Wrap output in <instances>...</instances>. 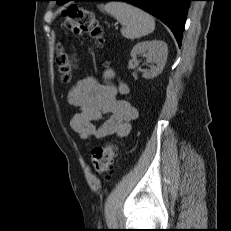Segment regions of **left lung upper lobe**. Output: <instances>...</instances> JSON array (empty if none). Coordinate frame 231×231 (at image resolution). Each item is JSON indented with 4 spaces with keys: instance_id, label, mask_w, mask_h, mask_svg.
<instances>
[{
    "instance_id": "1",
    "label": "left lung upper lobe",
    "mask_w": 231,
    "mask_h": 231,
    "mask_svg": "<svg viewBox=\"0 0 231 231\" xmlns=\"http://www.w3.org/2000/svg\"><path fill=\"white\" fill-rule=\"evenodd\" d=\"M57 1L58 4H61L63 2V0H54Z\"/></svg>"
}]
</instances>
